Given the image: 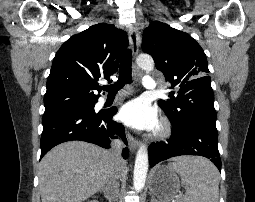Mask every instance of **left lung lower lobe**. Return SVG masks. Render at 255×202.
I'll use <instances>...</instances> for the list:
<instances>
[{
	"mask_svg": "<svg viewBox=\"0 0 255 202\" xmlns=\"http://www.w3.org/2000/svg\"><path fill=\"white\" fill-rule=\"evenodd\" d=\"M216 128L205 125H191L181 130H172L167 142H156L149 146V163L155 164L180 155H199L211 159L221 171Z\"/></svg>",
	"mask_w": 255,
	"mask_h": 202,
	"instance_id": "obj_1",
	"label": "left lung lower lobe"
}]
</instances>
